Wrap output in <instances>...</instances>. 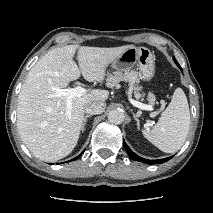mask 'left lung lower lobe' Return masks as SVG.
<instances>
[{
    "label": "left lung lower lobe",
    "mask_w": 213,
    "mask_h": 213,
    "mask_svg": "<svg viewBox=\"0 0 213 213\" xmlns=\"http://www.w3.org/2000/svg\"><path fill=\"white\" fill-rule=\"evenodd\" d=\"M180 68V70L182 71V68L180 67V65L178 66ZM123 145H124V148L126 150V152L128 153L129 157L133 160H136V161H141L143 163H147V164H161V163H164L166 161H168L169 159L172 158L171 157H167V158H164V159H158V160H148V159H144L138 155H136L128 146L127 144L125 143V141H123Z\"/></svg>",
    "instance_id": "obj_1"
}]
</instances>
